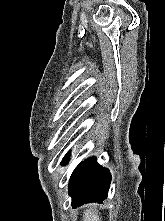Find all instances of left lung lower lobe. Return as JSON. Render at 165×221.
I'll return each instance as SVG.
<instances>
[{
  "label": "left lung lower lobe",
  "mask_w": 165,
  "mask_h": 221,
  "mask_svg": "<svg viewBox=\"0 0 165 221\" xmlns=\"http://www.w3.org/2000/svg\"><path fill=\"white\" fill-rule=\"evenodd\" d=\"M68 157L69 153L63 159V164L68 162ZM110 182L109 170L101 167L95 157L85 160L77 166L69 181L73 208L89 202L102 203L108 196Z\"/></svg>",
  "instance_id": "0a47b994"
}]
</instances>
